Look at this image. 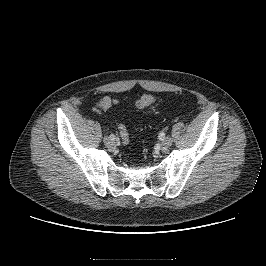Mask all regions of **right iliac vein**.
<instances>
[{"label": "right iliac vein", "mask_w": 266, "mask_h": 266, "mask_svg": "<svg viewBox=\"0 0 266 266\" xmlns=\"http://www.w3.org/2000/svg\"><path fill=\"white\" fill-rule=\"evenodd\" d=\"M104 143L107 147H114L115 146L114 140L110 139L109 137L104 138Z\"/></svg>", "instance_id": "1"}]
</instances>
